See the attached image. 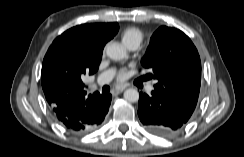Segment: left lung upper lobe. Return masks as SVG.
<instances>
[{
  "mask_svg": "<svg viewBox=\"0 0 244 157\" xmlns=\"http://www.w3.org/2000/svg\"><path fill=\"white\" fill-rule=\"evenodd\" d=\"M141 64L152 70L147 76L157 80L154 89L191 116L200 91L201 62L190 38L179 29L160 27L152 35Z\"/></svg>",
  "mask_w": 244,
  "mask_h": 157,
  "instance_id": "1",
  "label": "left lung upper lobe"
}]
</instances>
